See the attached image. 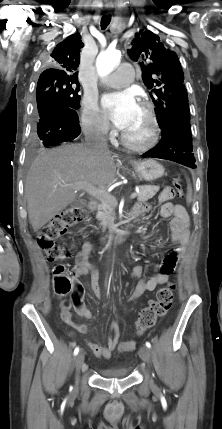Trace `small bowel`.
I'll use <instances>...</instances> for the list:
<instances>
[{"mask_svg": "<svg viewBox=\"0 0 222 429\" xmlns=\"http://www.w3.org/2000/svg\"><path fill=\"white\" fill-rule=\"evenodd\" d=\"M162 202L160 214L162 217H172L170 221L171 241L177 245L175 249L170 251L162 263L158 266V273L151 276L149 279L143 277L144 268L142 265H136L131 268L128 273L130 278L136 280V287L129 301L132 302L141 296L146 291H152L157 286L167 282L169 276L173 273L177 262L184 256L186 245L189 240V216L186 209L182 205L167 202L160 196ZM149 210V206L145 203L137 204L133 213L135 215L142 214ZM93 246L90 242H84L75 256V264L72 268V277L80 286L79 292H74L72 300L65 302L61 306L62 320L69 326L74 327L80 333H88V327L85 325L76 326L72 322L71 308L74 307L76 312L83 318L90 319L92 314L83 301V290L77 278L86 274L91 277V288L97 298L102 297V291L99 283V274L96 267L89 261ZM119 326L117 321H112L109 326V336L105 344L96 342H88V348L95 356L103 359H110L118 344ZM136 347L135 341H126L119 345V353L127 354Z\"/></svg>", "mask_w": 222, "mask_h": 429, "instance_id": "obj_1", "label": "small bowel"}]
</instances>
